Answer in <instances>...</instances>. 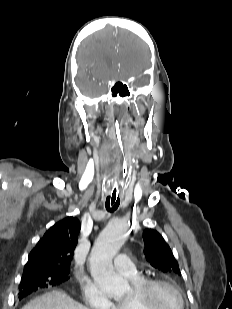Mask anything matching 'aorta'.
Segmentation results:
<instances>
[{"instance_id": "aorta-1", "label": "aorta", "mask_w": 232, "mask_h": 309, "mask_svg": "<svg viewBox=\"0 0 232 309\" xmlns=\"http://www.w3.org/2000/svg\"><path fill=\"white\" fill-rule=\"evenodd\" d=\"M127 230L123 220H112L96 239L89 257L94 280L114 300H120L129 290L128 281L118 276L112 265L114 256L127 239Z\"/></svg>"}]
</instances>
